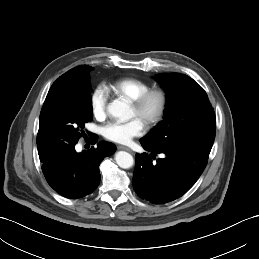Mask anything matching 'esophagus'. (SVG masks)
Listing matches in <instances>:
<instances>
[{
    "instance_id": "esophagus-1",
    "label": "esophagus",
    "mask_w": 259,
    "mask_h": 259,
    "mask_svg": "<svg viewBox=\"0 0 259 259\" xmlns=\"http://www.w3.org/2000/svg\"><path fill=\"white\" fill-rule=\"evenodd\" d=\"M117 148H118V149H122V150L129 151V152H132V150H131L130 148L125 147V146L118 145Z\"/></svg>"
}]
</instances>
